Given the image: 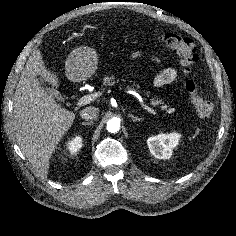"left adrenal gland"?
Returning <instances> with one entry per match:
<instances>
[{
    "label": "left adrenal gland",
    "mask_w": 236,
    "mask_h": 236,
    "mask_svg": "<svg viewBox=\"0 0 236 236\" xmlns=\"http://www.w3.org/2000/svg\"><path fill=\"white\" fill-rule=\"evenodd\" d=\"M128 116L132 119L133 122H136V121H142L143 118H139L137 116H134L133 114L129 113Z\"/></svg>",
    "instance_id": "left-adrenal-gland-1"
}]
</instances>
